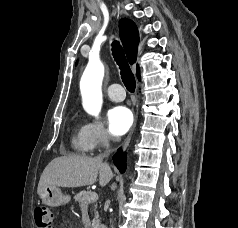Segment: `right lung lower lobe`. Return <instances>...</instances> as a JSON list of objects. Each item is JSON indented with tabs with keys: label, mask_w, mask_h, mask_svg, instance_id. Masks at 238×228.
Here are the masks:
<instances>
[{
	"label": "right lung lower lobe",
	"mask_w": 238,
	"mask_h": 228,
	"mask_svg": "<svg viewBox=\"0 0 238 228\" xmlns=\"http://www.w3.org/2000/svg\"><path fill=\"white\" fill-rule=\"evenodd\" d=\"M113 161L119 171L124 173L126 170V153H124L121 149H118L117 153L113 156Z\"/></svg>",
	"instance_id": "1"
}]
</instances>
